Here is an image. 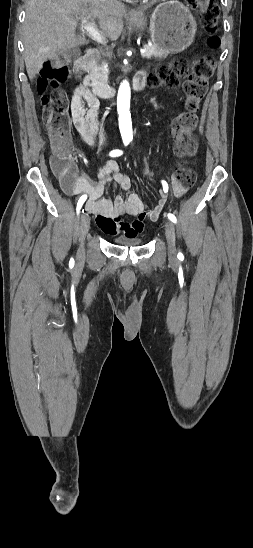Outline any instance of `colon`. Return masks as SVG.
<instances>
[{
    "label": "colon",
    "mask_w": 253,
    "mask_h": 548,
    "mask_svg": "<svg viewBox=\"0 0 253 548\" xmlns=\"http://www.w3.org/2000/svg\"><path fill=\"white\" fill-rule=\"evenodd\" d=\"M201 12V21L207 34V44L216 48L219 38L218 10L213 0H187ZM215 69V61L210 57L195 60L191 65L184 60H173L161 65L150 76L152 86H178L181 78L185 93V111L179 114L173 124L172 132L177 141V153L180 156L191 155L196 150V142L192 131L197 124L196 112L208 90V83ZM69 69L64 58L46 61L37 79V90L42 95V121L52 138L51 166L54 173L62 181H67L75 173L71 160V139L69 135V102L59 85L68 77ZM145 180H152L156 170L151 169L148 161L142 162ZM174 177L183 186H192L196 181L194 170L184 164H179L174 171Z\"/></svg>",
    "instance_id": "5ec220e1"
}]
</instances>
